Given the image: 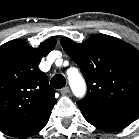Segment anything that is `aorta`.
I'll use <instances>...</instances> for the list:
<instances>
[{
  "label": "aorta",
  "mask_w": 139,
  "mask_h": 139,
  "mask_svg": "<svg viewBox=\"0 0 139 139\" xmlns=\"http://www.w3.org/2000/svg\"><path fill=\"white\" fill-rule=\"evenodd\" d=\"M68 81L73 94L77 98H82L85 96L87 87L84 78L78 72L68 73Z\"/></svg>",
  "instance_id": "obj_1"
}]
</instances>
